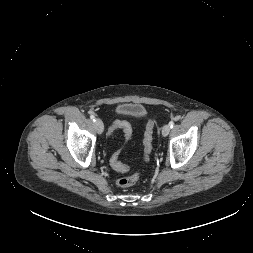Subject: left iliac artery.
Returning <instances> with one entry per match:
<instances>
[{"instance_id":"44dca946","label":"left iliac artery","mask_w":253,"mask_h":253,"mask_svg":"<svg viewBox=\"0 0 253 253\" xmlns=\"http://www.w3.org/2000/svg\"><path fill=\"white\" fill-rule=\"evenodd\" d=\"M169 125H170V127L172 128V127L174 126V122H173V121H170V122H169Z\"/></svg>"}]
</instances>
